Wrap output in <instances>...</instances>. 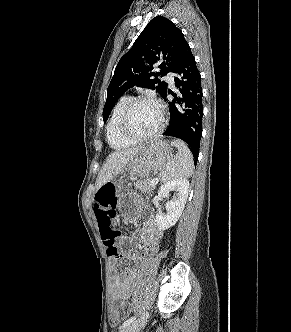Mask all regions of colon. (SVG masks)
I'll use <instances>...</instances> for the list:
<instances>
[{
    "label": "colon",
    "mask_w": 291,
    "mask_h": 332,
    "mask_svg": "<svg viewBox=\"0 0 291 332\" xmlns=\"http://www.w3.org/2000/svg\"><path fill=\"white\" fill-rule=\"evenodd\" d=\"M95 208L100 228V235L106 248L107 255L118 258L117 239L119 231L116 227V201L114 190H103L96 195ZM119 318V312L115 308L110 310V319L115 323Z\"/></svg>",
    "instance_id": "colon-1"
}]
</instances>
